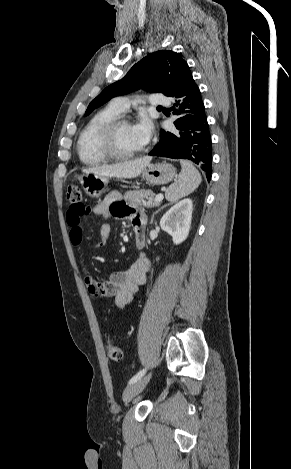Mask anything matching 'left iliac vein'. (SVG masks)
<instances>
[{
  "instance_id": "obj_1",
  "label": "left iliac vein",
  "mask_w": 291,
  "mask_h": 469,
  "mask_svg": "<svg viewBox=\"0 0 291 469\" xmlns=\"http://www.w3.org/2000/svg\"><path fill=\"white\" fill-rule=\"evenodd\" d=\"M151 378V373L143 378H140L133 384H130L123 393V401L130 402L136 395H138L147 385Z\"/></svg>"
}]
</instances>
